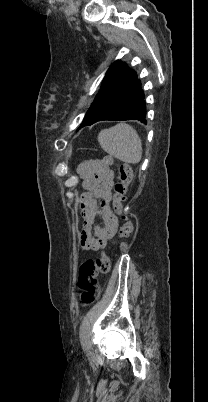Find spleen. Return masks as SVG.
I'll list each match as a JSON object with an SVG mask.
<instances>
[{
    "label": "spleen",
    "mask_w": 208,
    "mask_h": 402,
    "mask_svg": "<svg viewBox=\"0 0 208 402\" xmlns=\"http://www.w3.org/2000/svg\"><path fill=\"white\" fill-rule=\"evenodd\" d=\"M97 140L104 152L121 162L138 164L142 158L141 140L136 130L128 124H117L109 130H101Z\"/></svg>",
    "instance_id": "1"
}]
</instances>
